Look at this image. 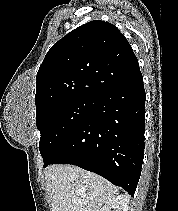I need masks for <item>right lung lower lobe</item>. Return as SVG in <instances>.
<instances>
[{
	"instance_id": "98d812e1",
	"label": "right lung lower lobe",
	"mask_w": 178,
	"mask_h": 211,
	"mask_svg": "<svg viewBox=\"0 0 178 211\" xmlns=\"http://www.w3.org/2000/svg\"><path fill=\"white\" fill-rule=\"evenodd\" d=\"M145 91L141 72L98 97L87 117L44 159L73 164L133 196L144 157Z\"/></svg>"
}]
</instances>
